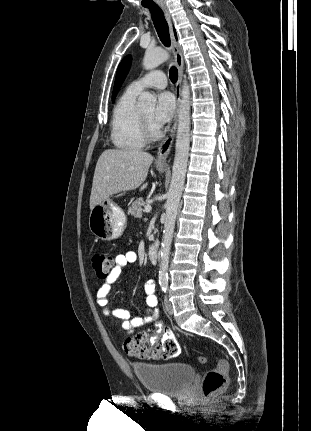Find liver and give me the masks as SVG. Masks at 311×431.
<instances>
[{
	"mask_svg": "<svg viewBox=\"0 0 311 431\" xmlns=\"http://www.w3.org/2000/svg\"><path fill=\"white\" fill-rule=\"evenodd\" d=\"M154 156L142 150H105L95 168L91 194L90 210L99 202L107 200L113 194L136 190H146L144 184Z\"/></svg>",
	"mask_w": 311,
	"mask_h": 431,
	"instance_id": "obj_1",
	"label": "liver"
}]
</instances>
